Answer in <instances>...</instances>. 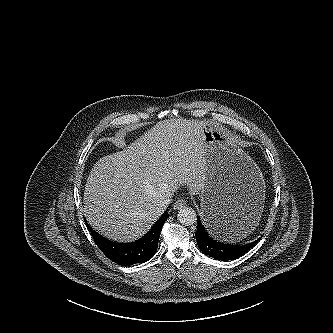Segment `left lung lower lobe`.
Masks as SVG:
<instances>
[{"label": "left lung lower lobe", "mask_w": 333, "mask_h": 333, "mask_svg": "<svg viewBox=\"0 0 333 333\" xmlns=\"http://www.w3.org/2000/svg\"><path fill=\"white\" fill-rule=\"evenodd\" d=\"M197 224L198 228L195 236L199 249L206 255L221 261H228L239 258L240 256L247 253L261 238L260 237L254 242L246 245L226 244L214 240L212 237L208 235V233L205 231L201 223L199 216L197 218ZM224 227L222 228V230L224 229ZM216 235L222 238L221 233H218Z\"/></svg>", "instance_id": "obj_1"}]
</instances>
